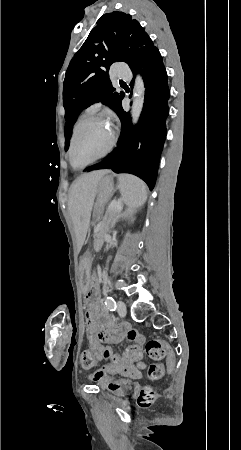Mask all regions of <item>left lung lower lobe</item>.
Returning a JSON list of instances; mask_svg holds the SVG:
<instances>
[{
    "instance_id": "0a47b994",
    "label": "left lung lower lobe",
    "mask_w": 241,
    "mask_h": 450,
    "mask_svg": "<svg viewBox=\"0 0 241 450\" xmlns=\"http://www.w3.org/2000/svg\"><path fill=\"white\" fill-rule=\"evenodd\" d=\"M130 68L140 72L145 83V99L138 124L133 128L129 113L122 105L117 115L122 127L117 147L102 162L84 171L112 169L116 173H131L154 188L160 154L166 137V118L169 114L167 73L159 50L153 46Z\"/></svg>"
}]
</instances>
